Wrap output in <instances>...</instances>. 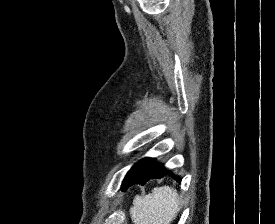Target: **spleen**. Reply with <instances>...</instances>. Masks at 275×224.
Returning a JSON list of instances; mask_svg holds the SVG:
<instances>
[{
    "instance_id": "obj_1",
    "label": "spleen",
    "mask_w": 275,
    "mask_h": 224,
    "mask_svg": "<svg viewBox=\"0 0 275 224\" xmlns=\"http://www.w3.org/2000/svg\"><path fill=\"white\" fill-rule=\"evenodd\" d=\"M178 207L179 196L174 188L155 187L152 193L134 197L130 215L134 224H170Z\"/></svg>"
}]
</instances>
